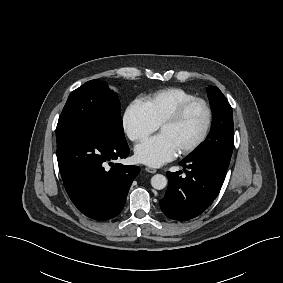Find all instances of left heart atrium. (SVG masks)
<instances>
[{"label": "left heart atrium", "instance_id": "left-heart-atrium-1", "mask_svg": "<svg viewBox=\"0 0 283 283\" xmlns=\"http://www.w3.org/2000/svg\"><path fill=\"white\" fill-rule=\"evenodd\" d=\"M177 154L175 145L162 134L146 139L135 148L136 159L151 167H159L173 160Z\"/></svg>", "mask_w": 283, "mask_h": 283}]
</instances>
